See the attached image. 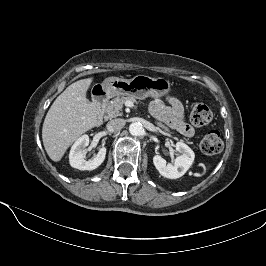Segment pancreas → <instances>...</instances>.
Wrapping results in <instances>:
<instances>
[{
  "mask_svg": "<svg viewBox=\"0 0 266 266\" xmlns=\"http://www.w3.org/2000/svg\"><path fill=\"white\" fill-rule=\"evenodd\" d=\"M126 101H131V102L137 103L136 98H134L133 96H130V95L122 96V97L117 96L116 98L112 99L110 102H108L106 104V107L104 110H105V113L107 114V117L113 118L116 116H121L123 104ZM156 124L159 127L163 128L165 131H169V129L166 126H164L162 123L157 122Z\"/></svg>",
  "mask_w": 266,
  "mask_h": 266,
  "instance_id": "pancreas-1",
  "label": "pancreas"
}]
</instances>
